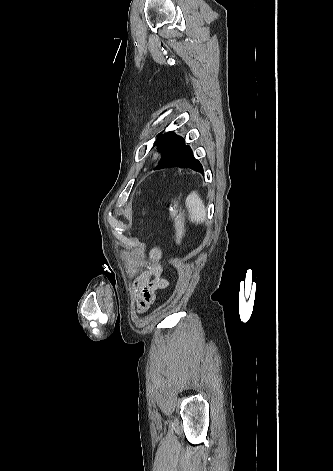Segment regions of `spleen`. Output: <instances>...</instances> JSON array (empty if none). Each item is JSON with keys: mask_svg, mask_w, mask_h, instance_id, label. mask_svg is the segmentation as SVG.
I'll return each instance as SVG.
<instances>
[{"mask_svg": "<svg viewBox=\"0 0 333 471\" xmlns=\"http://www.w3.org/2000/svg\"><path fill=\"white\" fill-rule=\"evenodd\" d=\"M186 206L191 220L194 222H204L206 220L205 205L197 192L194 191L187 196Z\"/></svg>", "mask_w": 333, "mask_h": 471, "instance_id": "3e777b00", "label": "spleen"}]
</instances>
